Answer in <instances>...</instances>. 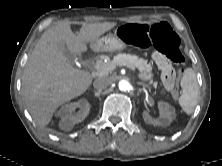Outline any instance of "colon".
<instances>
[{"label": "colon", "instance_id": "5ec220e1", "mask_svg": "<svg viewBox=\"0 0 222 166\" xmlns=\"http://www.w3.org/2000/svg\"><path fill=\"white\" fill-rule=\"evenodd\" d=\"M126 43L141 48L154 46L163 55L162 79L165 87L178 98L179 86L177 73L172 64L181 66L185 58L180 50V39L166 22L155 24H128L118 31ZM183 72V69L180 70Z\"/></svg>", "mask_w": 222, "mask_h": 166}]
</instances>
